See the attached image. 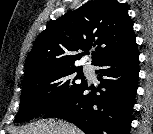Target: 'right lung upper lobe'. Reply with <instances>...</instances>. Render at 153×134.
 I'll list each match as a JSON object with an SVG mask.
<instances>
[{
    "label": "right lung upper lobe",
    "mask_w": 153,
    "mask_h": 134,
    "mask_svg": "<svg viewBox=\"0 0 153 134\" xmlns=\"http://www.w3.org/2000/svg\"><path fill=\"white\" fill-rule=\"evenodd\" d=\"M133 24L123 3L99 0L49 22L26 60L24 79L41 72L74 66L92 47V65L135 43ZM78 51H83L78 53Z\"/></svg>",
    "instance_id": "right-lung-upper-lobe-1"
}]
</instances>
